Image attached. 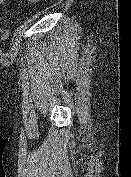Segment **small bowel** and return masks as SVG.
<instances>
[{"mask_svg": "<svg viewBox=\"0 0 131 177\" xmlns=\"http://www.w3.org/2000/svg\"><path fill=\"white\" fill-rule=\"evenodd\" d=\"M26 2H27L28 4H34V3L40 2V0H26ZM6 3H7V0H0V6L6 5ZM2 34L5 35L6 32L3 30V31H2Z\"/></svg>", "mask_w": 131, "mask_h": 177, "instance_id": "1", "label": "small bowel"}]
</instances>
